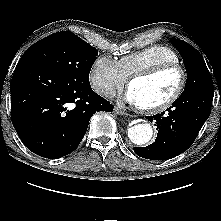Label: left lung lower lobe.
<instances>
[{"instance_id":"0a47b994","label":"left lung lower lobe","mask_w":221,"mask_h":221,"mask_svg":"<svg viewBox=\"0 0 221 221\" xmlns=\"http://www.w3.org/2000/svg\"><path fill=\"white\" fill-rule=\"evenodd\" d=\"M212 101L213 85H207L180 96L166 114L148 116L155 121L157 138L149 146L134 147V152L151 160H167L185 152L208 119Z\"/></svg>"}]
</instances>
